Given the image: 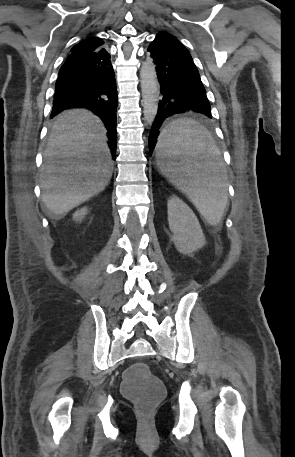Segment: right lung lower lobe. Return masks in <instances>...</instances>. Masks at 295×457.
I'll list each match as a JSON object with an SVG mask.
<instances>
[{"instance_id":"98d812e1","label":"right lung lower lobe","mask_w":295,"mask_h":457,"mask_svg":"<svg viewBox=\"0 0 295 457\" xmlns=\"http://www.w3.org/2000/svg\"><path fill=\"white\" fill-rule=\"evenodd\" d=\"M118 97L110 54L104 49L69 55L59 70L51 118L69 108H87L104 122L113 156L116 152Z\"/></svg>"}]
</instances>
